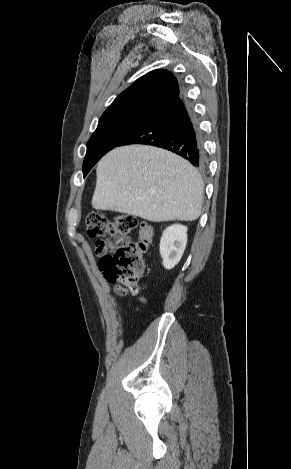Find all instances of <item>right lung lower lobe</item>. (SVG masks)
Instances as JSON below:
<instances>
[{
    "instance_id": "98d812e1",
    "label": "right lung lower lobe",
    "mask_w": 291,
    "mask_h": 469,
    "mask_svg": "<svg viewBox=\"0 0 291 469\" xmlns=\"http://www.w3.org/2000/svg\"><path fill=\"white\" fill-rule=\"evenodd\" d=\"M146 144L172 151L198 168L206 165L197 117L182 93L145 120L117 146Z\"/></svg>"
}]
</instances>
